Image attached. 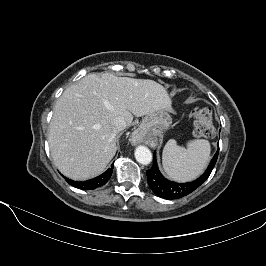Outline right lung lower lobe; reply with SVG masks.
I'll return each instance as SVG.
<instances>
[{
  "mask_svg": "<svg viewBox=\"0 0 266 266\" xmlns=\"http://www.w3.org/2000/svg\"><path fill=\"white\" fill-rule=\"evenodd\" d=\"M114 168V164L111 165V167L105 171L103 174H101L100 176L87 180V181H83V182H79V181H74L71 180L69 178L65 177V180L72 186L82 189V190H93L96 189L98 187H101L103 185H105L107 183V181L110 179L111 175H112V171Z\"/></svg>",
  "mask_w": 266,
  "mask_h": 266,
  "instance_id": "98d812e1",
  "label": "right lung lower lobe"
}]
</instances>
